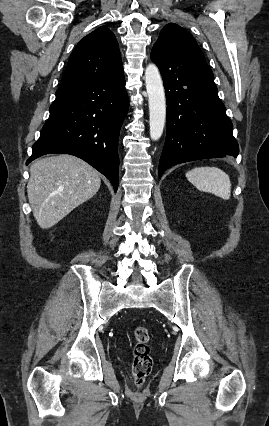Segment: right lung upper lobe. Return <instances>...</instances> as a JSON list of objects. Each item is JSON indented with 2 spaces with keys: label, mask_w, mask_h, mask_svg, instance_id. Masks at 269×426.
Masks as SVG:
<instances>
[{
  "label": "right lung upper lobe",
  "mask_w": 269,
  "mask_h": 426,
  "mask_svg": "<svg viewBox=\"0 0 269 426\" xmlns=\"http://www.w3.org/2000/svg\"><path fill=\"white\" fill-rule=\"evenodd\" d=\"M123 72L114 33L102 26L85 36L72 52L59 88L104 80Z\"/></svg>",
  "instance_id": "cb5924a9"
}]
</instances>
